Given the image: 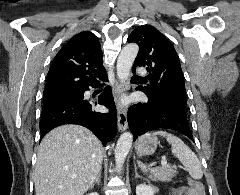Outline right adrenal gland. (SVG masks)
<instances>
[{
	"label": "right adrenal gland",
	"instance_id": "right-adrenal-gland-1",
	"mask_svg": "<svg viewBox=\"0 0 240 195\" xmlns=\"http://www.w3.org/2000/svg\"><path fill=\"white\" fill-rule=\"evenodd\" d=\"M100 181H101V173L99 171V173H97V177H96L95 181H93L91 187H94V185H100Z\"/></svg>",
	"mask_w": 240,
	"mask_h": 195
}]
</instances>
